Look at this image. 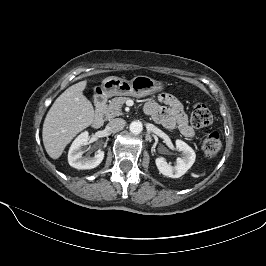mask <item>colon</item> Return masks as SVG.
Listing matches in <instances>:
<instances>
[{"instance_id": "obj_1", "label": "colon", "mask_w": 266, "mask_h": 266, "mask_svg": "<svg viewBox=\"0 0 266 266\" xmlns=\"http://www.w3.org/2000/svg\"><path fill=\"white\" fill-rule=\"evenodd\" d=\"M213 117L209 108L202 103L196 104L191 113V123L196 128L209 126ZM222 142L217 132L209 133L203 140L201 148L206 157H215L221 150Z\"/></svg>"}]
</instances>
